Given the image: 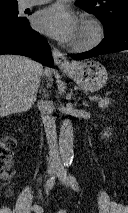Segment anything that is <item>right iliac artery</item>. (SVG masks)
<instances>
[{"label": "right iliac artery", "mask_w": 128, "mask_h": 213, "mask_svg": "<svg viewBox=\"0 0 128 213\" xmlns=\"http://www.w3.org/2000/svg\"><path fill=\"white\" fill-rule=\"evenodd\" d=\"M54 184H55V177L49 178V179L47 180L46 184H45L46 190L48 191V190L52 189L53 186H54Z\"/></svg>", "instance_id": "right-iliac-artery-1"}]
</instances>
